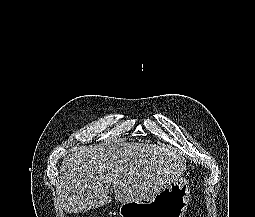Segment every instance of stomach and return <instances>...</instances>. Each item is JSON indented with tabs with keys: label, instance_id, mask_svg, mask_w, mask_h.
Here are the masks:
<instances>
[{
	"label": "stomach",
	"instance_id": "obj_1",
	"mask_svg": "<svg viewBox=\"0 0 255 217\" xmlns=\"http://www.w3.org/2000/svg\"><path fill=\"white\" fill-rule=\"evenodd\" d=\"M190 201L189 182L178 178L150 199L122 203L120 217H183Z\"/></svg>",
	"mask_w": 255,
	"mask_h": 217
}]
</instances>
